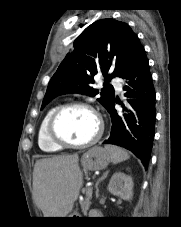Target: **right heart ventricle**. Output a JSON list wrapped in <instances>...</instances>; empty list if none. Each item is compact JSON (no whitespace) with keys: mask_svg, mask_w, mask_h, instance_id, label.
I'll return each instance as SVG.
<instances>
[{"mask_svg":"<svg viewBox=\"0 0 181 227\" xmlns=\"http://www.w3.org/2000/svg\"><path fill=\"white\" fill-rule=\"evenodd\" d=\"M55 109L56 108L53 107L46 112V114L44 115L40 123L39 130H38V145L42 151L48 152V153L59 152L62 148L56 145L55 143H53L48 137V133H47L48 121Z\"/></svg>","mask_w":181,"mask_h":227,"instance_id":"e07e8e85","label":"right heart ventricle"}]
</instances>
